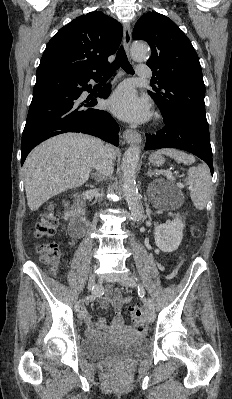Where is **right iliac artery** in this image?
<instances>
[{
    "mask_svg": "<svg viewBox=\"0 0 232 399\" xmlns=\"http://www.w3.org/2000/svg\"><path fill=\"white\" fill-rule=\"evenodd\" d=\"M94 299H95V296L93 294L87 295V300L92 301ZM74 309H75L76 312L79 311V309H80V302L79 301L75 304Z\"/></svg>",
    "mask_w": 232,
    "mask_h": 399,
    "instance_id": "1",
    "label": "right iliac artery"
}]
</instances>
